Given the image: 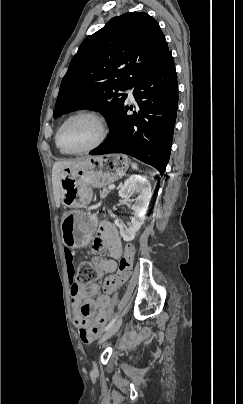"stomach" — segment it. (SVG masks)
<instances>
[{"instance_id":"stomach-1","label":"stomach","mask_w":243,"mask_h":404,"mask_svg":"<svg viewBox=\"0 0 243 404\" xmlns=\"http://www.w3.org/2000/svg\"><path fill=\"white\" fill-rule=\"evenodd\" d=\"M129 168L128 158L121 154H107L82 158L66 166L61 172V201L72 208L62 220L63 242L71 248L89 243L97 225L94 214L85 212L92 200V188L105 187L123 177Z\"/></svg>"}]
</instances>
